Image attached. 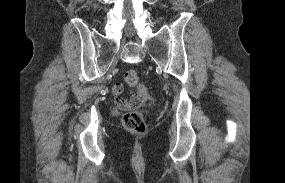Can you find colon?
Wrapping results in <instances>:
<instances>
[{"mask_svg": "<svg viewBox=\"0 0 285 183\" xmlns=\"http://www.w3.org/2000/svg\"><path fill=\"white\" fill-rule=\"evenodd\" d=\"M124 79L129 86L136 87L137 91L130 99L128 110L122 116L123 125L131 132L144 133L146 130L144 117L141 112L133 108L139 104L150 106L153 101L152 97L149 95L146 87L140 84L136 71L128 70L124 75Z\"/></svg>", "mask_w": 285, "mask_h": 183, "instance_id": "colon-1", "label": "colon"}]
</instances>
